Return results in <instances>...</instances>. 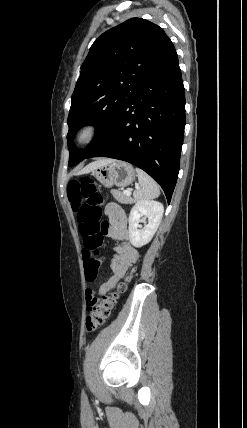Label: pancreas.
Here are the masks:
<instances>
[{
	"mask_svg": "<svg viewBox=\"0 0 247 428\" xmlns=\"http://www.w3.org/2000/svg\"><path fill=\"white\" fill-rule=\"evenodd\" d=\"M113 197L122 204H133L135 200L131 196L125 195L120 190H111Z\"/></svg>",
	"mask_w": 247,
	"mask_h": 428,
	"instance_id": "obj_1",
	"label": "pancreas"
}]
</instances>
